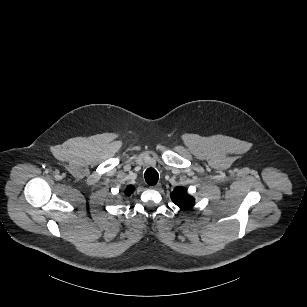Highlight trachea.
Returning <instances> with one entry per match:
<instances>
[{
    "label": "trachea",
    "mask_w": 307,
    "mask_h": 307,
    "mask_svg": "<svg viewBox=\"0 0 307 307\" xmlns=\"http://www.w3.org/2000/svg\"><path fill=\"white\" fill-rule=\"evenodd\" d=\"M144 177L148 185H155L159 178L157 171L153 168L147 169Z\"/></svg>",
    "instance_id": "trachea-1"
}]
</instances>
